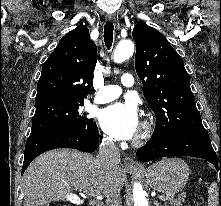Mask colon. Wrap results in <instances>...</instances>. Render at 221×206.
<instances>
[{
	"instance_id": "5ec220e1",
	"label": "colon",
	"mask_w": 221,
	"mask_h": 206,
	"mask_svg": "<svg viewBox=\"0 0 221 206\" xmlns=\"http://www.w3.org/2000/svg\"><path fill=\"white\" fill-rule=\"evenodd\" d=\"M202 203H203V198L200 197V196H198V197L196 198V204H197L198 206H201ZM47 206H56V204L50 203V204H48Z\"/></svg>"
}]
</instances>
